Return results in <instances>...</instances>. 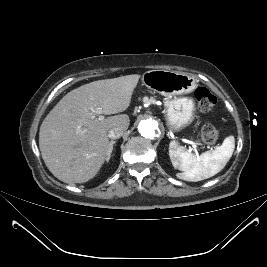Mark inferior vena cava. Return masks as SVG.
Listing matches in <instances>:
<instances>
[{
    "label": "inferior vena cava",
    "mask_w": 267,
    "mask_h": 267,
    "mask_svg": "<svg viewBox=\"0 0 267 267\" xmlns=\"http://www.w3.org/2000/svg\"><path fill=\"white\" fill-rule=\"evenodd\" d=\"M124 129L122 127H113L108 132V137L111 139H117L122 136Z\"/></svg>",
    "instance_id": "obj_1"
}]
</instances>
